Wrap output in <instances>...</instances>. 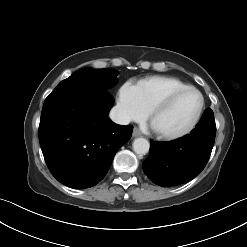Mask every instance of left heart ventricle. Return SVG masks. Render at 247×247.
<instances>
[{
  "label": "left heart ventricle",
  "mask_w": 247,
  "mask_h": 247,
  "mask_svg": "<svg viewBox=\"0 0 247 247\" xmlns=\"http://www.w3.org/2000/svg\"><path fill=\"white\" fill-rule=\"evenodd\" d=\"M200 105V97L195 92H186L176 97L151 121L152 127L162 133H176L185 129L194 119Z\"/></svg>",
  "instance_id": "b2bd125f"
}]
</instances>
